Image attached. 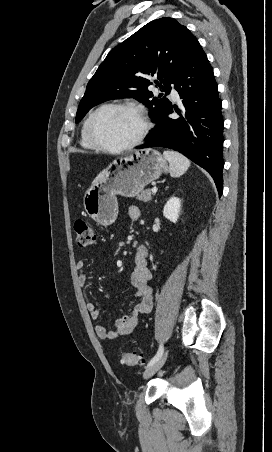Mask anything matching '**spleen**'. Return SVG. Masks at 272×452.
I'll return each mask as SVG.
<instances>
[{
	"label": "spleen",
	"instance_id": "obj_1",
	"mask_svg": "<svg viewBox=\"0 0 272 452\" xmlns=\"http://www.w3.org/2000/svg\"><path fill=\"white\" fill-rule=\"evenodd\" d=\"M164 158L169 162V173L172 177L183 175L190 166V160L176 151L165 150Z\"/></svg>",
	"mask_w": 272,
	"mask_h": 452
}]
</instances>
